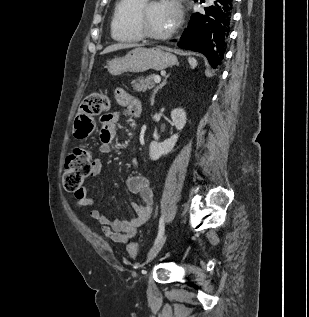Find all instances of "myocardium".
Returning a JSON list of instances; mask_svg holds the SVG:
<instances>
[{"instance_id": "obj_1", "label": "myocardium", "mask_w": 309, "mask_h": 317, "mask_svg": "<svg viewBox=\"0 0 309 317\" xmlns=\"http://www.w3.org/2000/svg\"><path fill=\"white\" fill-rule=\"evenodd\" d=\"M159 1H151V0H146L139 8L136 14V26L137 29L139 30L140 34L142 37L151 39V40H165L170 38L178 29L179 27V22H176L174 27L170 29L168 32L164 34H156L151 32L147 25H146V15L147 11L150 8L151 5L158 3Z\"/></svg>"}]
</instances>
